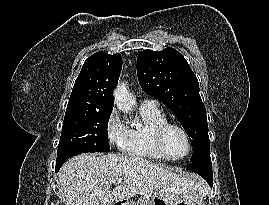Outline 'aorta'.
I'll list each match as a JSON object with an SVG mask.
<instances>
[{
    "instance_id": "aorta-1",
    "label": "aorta",
    "mask_w": 269,
    "mask_h": 205,
    "mask_svg": "<svg viewBox=\"0 0 269 205\" xmlns=\"http://www.w3.org/2000/svg\"><path fill=\"white\" fill-rule=\"evenodd\" d=\"M114 101L117 108L124 113H131L136 105L134 97L129 93L124 83L118 85L116 88Z\"/></svg>"
}]
</instances>
